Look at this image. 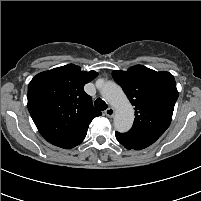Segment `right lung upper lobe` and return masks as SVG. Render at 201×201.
<instances>
[{"mask_svg":"<svg viewBox=\"0 0 201 201\" xmlns=\"http://www.w3.org/2000/svg\"><path fill=\"white\" fill-rule=\"evenodd\" d=\"M98 75L68 64L37 74L28 86V110L40 134L63 146L82 141L91 121L101 115L84 85Z\"/></svg>","mask_w":201,"mask_h":201,"instance_id":"obj_1","label":"right lung upper lobe"}]
</instances>
